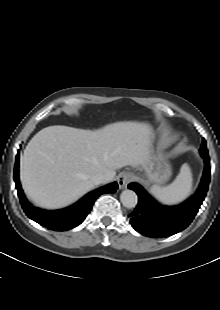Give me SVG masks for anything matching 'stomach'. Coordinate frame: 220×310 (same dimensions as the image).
<instances>
[{
  "instance_id": "stomach-1",
  "label": "stomach",
  "mask_w": 220,
  "mask_h": 310,
  "mask_svg": "<svg viewBox=\"0 0 220 310\" xmlns=\"http://www.w3.org/2000/svg\"><path fill=\"white\" fill-rule=\"evenodd\" d=\"M149 182L155 184L165 183L171 176V168L166 159L161 155H153L142 166Z\"/></svg>"
}]
</instances>
